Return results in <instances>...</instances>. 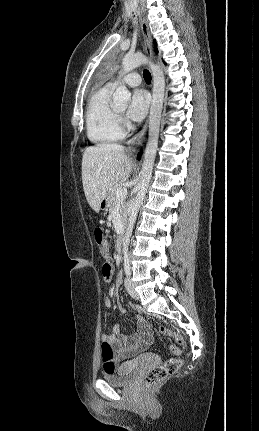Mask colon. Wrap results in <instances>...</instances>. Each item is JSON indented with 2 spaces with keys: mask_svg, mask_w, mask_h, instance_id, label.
<instances>
[{
  "mask_svg": "<svg viewBox=\"0 0 259 431\" xmlns=\"http://www.w3.org/2000/svg\"><path fill=\"white\" fill-rule=\"evenodd\" d=\"M94 238H95L97 245L99 246L100 253H101L102 258L104 260L102 269H103V267L108 266L112 270L111 257H110L109 250H108L106 243H105L106 237H105V232L103 231V229H101L100 227H96L94 229ZM159 330L162 334L173 337L179 345H184V338L182 337L181 334L169 329L168 327H166L164 325H161ZM171 352L175 355H178L180 353V350L177 347H171ZM102 354L105 357H111L112 356L113 351H112V348H111L109 343H107V342L102 343ZM182 363H183V361L180 358H171V359L167 360L166 362H164L162 365H159L157 367H154V368L148 370L144 375V384L146 386H152V385L162 381L163 379H165L169 375L176 373L180 369V367L182 366ZM113 370H114L113 366H108L105 369V371H113Z\"/></svg>",
  "mask_w": 259,
  "mask_h": 431,
  "instance_id": "1",
  "label": "colon"
}]
</instances>
